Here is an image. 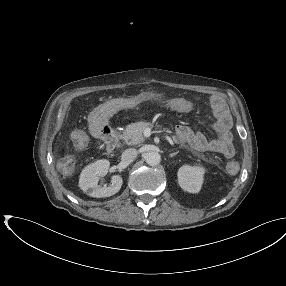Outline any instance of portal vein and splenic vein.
<instances>
[{
    "instance_id": "1",
    "label": "portal vein and splenic vein",
    "mask_w": 286,
    "mask_h": 286,
    "mask_svg": "<svg viewBox=\"0 0 286 286\" xmlns=\"http://www.w3.org/2000/svg\"><path fill=\"white\" fill-rule=\"evenodd\" d=\"M145 136L149 137L150 134H151V130L149 128L145 129V132H144ZM166 140L171 144V145H174V142L172 140L171 137H169L168 135L165 136Z\"/></svg>"
}]
</instances>
